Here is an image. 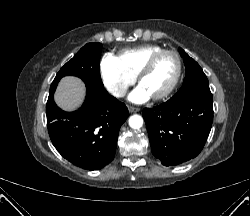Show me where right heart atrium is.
Segmentation results:
<instances>
[{"mask_svg": "<svg viewBox=\"0 0 250 216\" xmlns=\"http://www.w3.org/2000/svg\"><path fill=\"white\" fill-rule=\"evenodd\" d=\"M100 74L105 88L116 98L123 97L136 81L120 63L117 57L106 54L100 62Z\"/></svg>", "mask_w": 250, "mask_h": 216, "instance_id": "right-heart-atrium-1", "label": "right heart atrium"}]
</instances>
